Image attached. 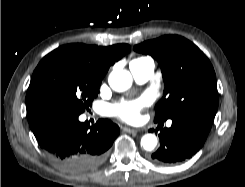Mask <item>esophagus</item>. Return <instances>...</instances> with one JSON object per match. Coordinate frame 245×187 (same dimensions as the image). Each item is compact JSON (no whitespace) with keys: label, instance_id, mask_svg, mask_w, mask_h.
I'll return each mask as SVG.
<instances>
[{"label":"esophagus","instance_id":"1","mask_svg":"<svg viewBox=\"0 0 245 187\" xmlns=\"http://www.w3.org/2000/svg\"><path fill=\"white\" fill-rule=\"evenodd\" d=\"M123 131L129 132V133H138L141 130L140 129H136V128L123 127Z\"/></svg>","mask_w":245,"mask_h":187}]
</instances>
